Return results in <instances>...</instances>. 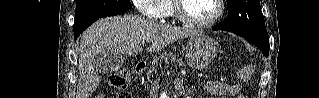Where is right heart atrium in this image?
<instances>
[{
  "instance_id": "1",
  "label": "right heart atrium",
  "mask_w": 319,
  "mask_h": 98,
  "mask_svg": "<svg viewBox=\"0 0 319 98\" xmlns=\"http://www.w3.org/2000/svg\"><path fill=\"white\" fill-rule=\"evenodd\" d=\"M156 2V0H136L134 1L137 8L143 13L146 17L151 19L161 18L162 15L160 11L155 9L152 5Z\"/></svg>"
}]
</instances>
